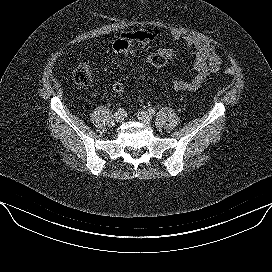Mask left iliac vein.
<instances>
[{"instance_id":"left-iliac-vein-1","label":"left iliac vein","mask_w":272,"mask_h":272,"mask_svg":"<svg viewBox=\"0 0 272 272\" xmlns=\"http://www.w3.org/2000/svg\"><path fill=\"white\" fill-rule=\"evenodd\" d=\"M138 119L145 124H150L152 121V116L146 111H140L138 113Z\"/></svg>"}]
</instances>
